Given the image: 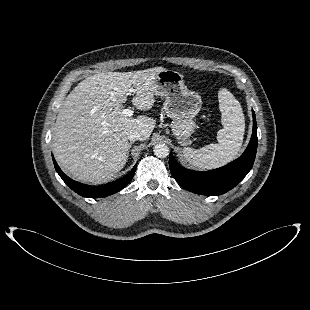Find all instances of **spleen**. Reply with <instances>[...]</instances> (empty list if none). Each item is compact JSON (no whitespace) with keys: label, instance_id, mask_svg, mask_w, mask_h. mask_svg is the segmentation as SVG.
I'll return each instance as SVG.
<instances>
[{"label":"spleen","instance_id":"obj_1","mask_svg":"<svg viewBox=\"0 0 310 310\" xmlns=\"http://www.w3.org/2000/svg\"><path fill=\"white\" fill-rule=\"evenodd\" d=\"M218 98L223 125L217 132L218 143L200 149H183L186 161L199 169L210 170L229 163L237 157L242 146L245 119L240 103L225 88L219 91Z\"/></svg>","mask_w":310,"mask_h":310}]
</instances>
